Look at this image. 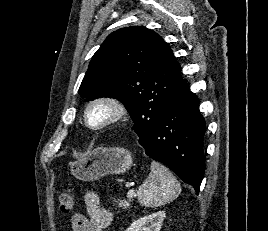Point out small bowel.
<instances>
[{
    "label": "small bowel",
    "instance_id": "1",
    "mask_svg": "<svg viewBox=\"0 0 268 231\" xmlns=\"http://www.w3.org/2000/svg\"><path fill=\"white\" fill-rule=\"evenodd\" d=\"M83 200L86 213L71 217V231H104L112 222V211L102 204L94 192H86Z\"/></svg>",
    "mask_w": 268,
    "mask_h": 231
}]
</instances>
